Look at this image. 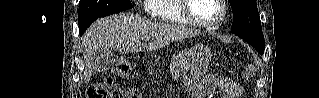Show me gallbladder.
Returning <instances> with one entry per match:
<instances>
[{
  "label": "gallbladder",
  "mask_w": 319,
  "mask_h": 98,
  "mask_svg": "<svg viewBox=\"0 0 319 98\" xmlns=\"http://www.w3.org/2000/svg\"><path fill=\"white\" fill-rule=\"evenodd\" d=\"M93 69L98 72L109 70L115 62V56L111 50H98L92 56Z\"/></svg>",
  "instance_id": "1"
}]
</instances>
